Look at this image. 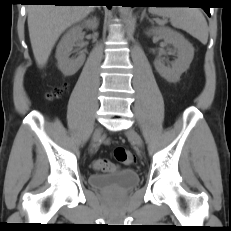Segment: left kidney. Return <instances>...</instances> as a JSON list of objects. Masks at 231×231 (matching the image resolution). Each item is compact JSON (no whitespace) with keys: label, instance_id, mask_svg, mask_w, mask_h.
<instances>
[{"label":"left kidney","instance_id":"1","mask_svg":"<svg viewBox=\"0 0 231 231\" xmlns=\"http://www.w3.org/2000/svg\"><path fill=\"white\" fill-rule=\"evenodd\" d=\"M148 34L162 38L165 43L174 47L177 59L171 67L165 66L161 59H156L154 65L158 73L168 82H178L182 73L189 68L193 60L194 47L183 35L167 27L152 29Z\"/></svg>","mask_w":231,"mask_h":231}]
</instances>
